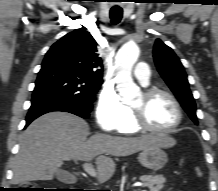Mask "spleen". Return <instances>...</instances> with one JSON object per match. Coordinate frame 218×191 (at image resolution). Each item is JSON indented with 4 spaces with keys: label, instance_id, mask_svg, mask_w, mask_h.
Wrapping results in <instances>:
<instances>
[{
    "label": "spleen",
    "instance_id": "obj_1",
    "mask_svg": "<svg viewBox=\"0 0 218 191\" xmlns=\"http://www.w3.org/2000/svg\"><path fill=\"white\" fill-rule=\"evenodd\" d=\"M196 170H197V174H198L199 176H201L202 174H201V172L199 171V169L196 168Z\"/></svg>",
    "mask_w": 218,
    "mask_h": 191
}]
</instances>
